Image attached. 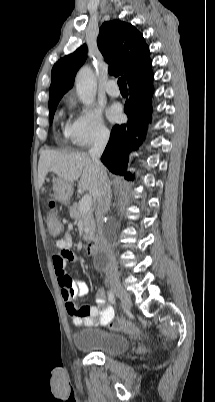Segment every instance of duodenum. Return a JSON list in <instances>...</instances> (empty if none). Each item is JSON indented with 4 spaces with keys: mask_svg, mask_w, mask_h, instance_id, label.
I'll return each mask as SVG.
<instances>
[{
    "mask_svg": "<svg viewBox=\"0 0 215 402\" xmlns=\"http://www.w3.org/2000/svg\"><path fill=\"white\" fill-rule=\"evenodd\" d=\"M100 243L97 239L90 240L86 245V252L89 255H94L99 251Z\"/></svg>",
    "mask_w": 215,
    "mask_h": 402,
    "instance_id": "1",
    "label": "duodenum"
}]
</instances>
